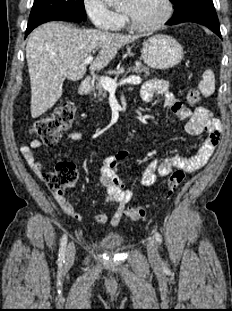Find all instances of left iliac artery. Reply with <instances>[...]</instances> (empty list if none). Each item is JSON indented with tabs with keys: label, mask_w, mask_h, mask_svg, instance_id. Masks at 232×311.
<instances>
[{
	"label": "left iliac artery",
	"mask_w": 232,
	"mask_h": 311,
	"mask_svg": "<svg viewBox=\"0 0 232 311\" xmlns=\"http://www.w3.org/2000/svg\"><path fill=\"white\" fill-rule=\"evenodd\" d=\"M155 239L159 244L162 243V236L158 232L155 233Z\"/></svg>",
	"instance_id": "1"
}]
</instances>
